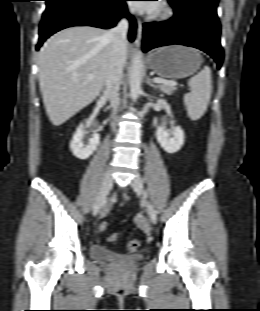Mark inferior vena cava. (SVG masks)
Here are the masks:
<instances>
[{
    "mask_svg": "<svg viewBox=\"0 0 260 311\" xmlns=\"http://www.w3.org/2000/svg\"><path fill=\"white\" fill-rule=\"evenodd\" d=\"M127 30L128 22L126 19H122L116 27L110 29L106 33V36L111 40V50L109 52V63L105 80L106 88L104 96H106L111 102L113 119H115V114L118 111L119 106L118 91L126 59L125 51L127 46Z\"/></svg>",
    "mask_w": 260,
    "mask_h": 311,
    "instance_id": "602c4592",
    "label": "inferior vena cava"
}]
</instances>
